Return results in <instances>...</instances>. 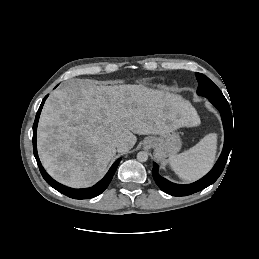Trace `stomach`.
Wrapping results in <instances>:
<instances>
[{
    "label": "stomach",
    "mask_w": 259,
    "mask_h": 259,
    "mask_svg": "<svg viewBox=\"0 0 259 259\" xmlns=\"http://www.w3.org/2000/svg\"><path fill=\"white\" fill-rule=\"evenodd\" d=\"M144 145L154 148V157L163 161L167 157L175 155L181 149V139L177 132L171 131L159 137L151 136L144 140Z\"/></svg>",
    "instance_id": "0dacf381"
}]
</instances>
